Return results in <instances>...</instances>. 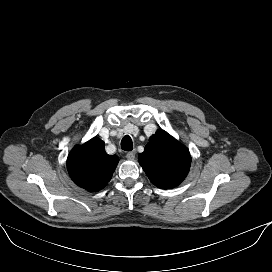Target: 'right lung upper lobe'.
<instances>
[{"label": "right lung upper lobe", "instance_id": "right-lung-upper-lobe-1", "mask_svg": "<svg viewBox=\"0 0 272 272\" xmlns=\"http://www.w3.org/2000/svg\"><path fill=\"white\" fill-rule=\"evenodd\" d=\"M104 147V142L95 137L71 150L67 159V169L75 184L92 192L107 185L119 158L116 155H108Z\"/></svg>", "mask_w": 272, "mask_h": 272}]
</instances>
